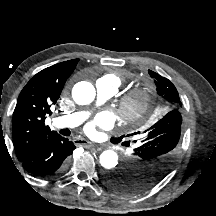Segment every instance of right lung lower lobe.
I'll list each match as a JSON object with an SVG mask.
<instances>
[{
  "label": "right lung lower lobe",
  "instance_id": "right-lung-lower-lobe-1",
  "mask_svg": "<svg viewBox=\"0 0 216 216\" xmlns=\"http://www.w3.org/2000/svg\"><path fill=\"white\" fill-rule=\"evenodd\" d=\"M75 148L71 141L55 134L40 144L21 162L29 173L41 178H50L61 172L67 157Z\"/></svg>",
  "mask_w": 216,
  "mask_h": 216
}]
</instances>
